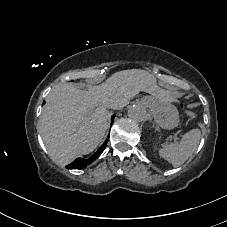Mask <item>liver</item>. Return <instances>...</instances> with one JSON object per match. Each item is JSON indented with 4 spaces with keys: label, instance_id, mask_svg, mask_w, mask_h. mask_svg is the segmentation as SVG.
Wrapping results in <instances>:
<instances>
[{
    "label": "liver",
    "instance_id": "obj_1",
    "mask_svg": "<svg viewBox=\"0 0 227 227\" xmlns=\"http://www.w3.org/2000/svg\"><path fill=\"white\" fill-rule=\"evenodd\" d=\"M154 88L152 75L139 69L116 72L89 90L77 89L71 83L55 85L46 97L39 122L48 154L58 163H67L77 154L91 153L108 129L111 101L128 99L140 90L152 93Z\"/></svg>",
    "mask_w": 227,
    "mask_h": 227
}]
</instances>
